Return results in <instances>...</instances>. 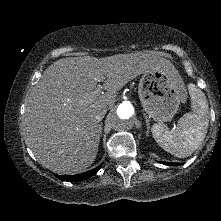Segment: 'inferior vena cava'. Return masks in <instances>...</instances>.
<instances>
[{"label":"inferior vena cava","instance_id":"1","mask_svg":"<svg viewBox=\"0 0 221 221\" xmlns=\"http://www.w3.org/2000/svg\"><path fill=\"white\" fill-rule=\"evenodd\" d=\"M106 112H107V109H106V108L101 109V110L97 113V115H96V117H95L96 120H97L98 122L101 121V120L104 118Z\"/></svg>","mask_w":221,"mask_h":221}]
</instances>
